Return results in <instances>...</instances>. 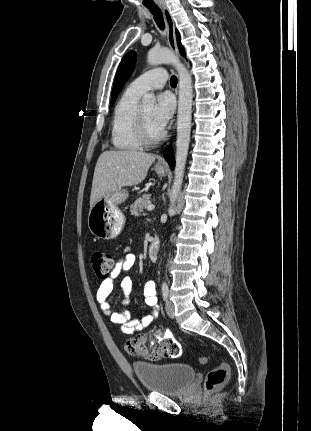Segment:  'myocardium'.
<instances>
[{
	"mask_svg": "<svg viewBox=\"0 0 311 431\" xmlns=\"http://www.w3.org/2000/svg\"><path fill=\"white\" fill-rule=\"evenodd\" d=\"M135 131L138 140L143 145H154L160 142L164 138V132H162L158 137L154 138L150 136L148 126L141 109H138L136 120H135Z\"/></svg>",
	"mask_w": 311,
	"mask_h": 431,
	"instance_id": "obj_1",
	"label": "myocardium"
}]
</instances>
